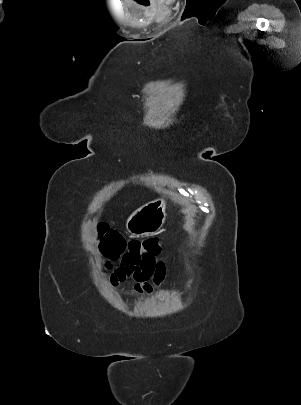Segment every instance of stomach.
Wrapping results in <instances>:
<instances>
[{
  "label": "stomach",
  "instance_id": "1",
  "mask_svg": "<svg viewBox=\"0 0 301 405\" xmlns=\"http://www.w3.org/2000/svg\"><path fill=\"white\" fill-rule=\"evenodd\" d=\"M165 201L158 199L137 209L128 218L127 231L135 237L155 234L164 222Z\"/></svg>",
  "mask_w": 301,
  "mask_h": 405
}]
</instances>
